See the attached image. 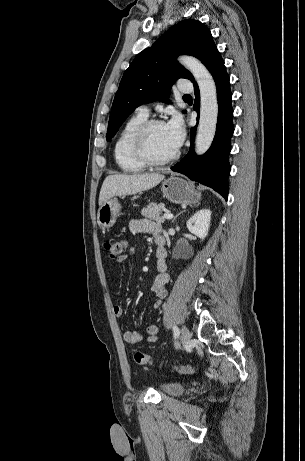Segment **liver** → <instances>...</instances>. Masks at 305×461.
Returning <instances> with one entry per match:
<instances>
[{"instance_id": "liver-1", "label": "liver", "mask_w": 305, "mask_h": 461, "mask_svg": "<svg viewBox=\"0 0 305 461\" xmlns=\"http://www.w3.org/2000/svg\"><path fill=\"white\" fill-rule=\"evenodd\" d=\"M164 179L158 173L107 176L99 194V206L114 196L133 195L157 186Z\"/></svg>"}]
</instances>
